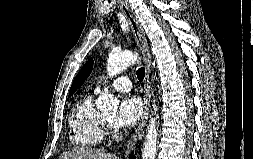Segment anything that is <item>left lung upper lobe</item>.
<instances>
[{
    "label": "left lung upper lobe",
    "instance_id": "5c2ea615",
    "mask_svg": "<svg viewBox=\"0 0 253 159\" xmlns=\"http://www.w3.org/2000/svg\"><path fill=\"white\" fill-rule=\"evenodd\" d=\"M93 68V60H89L80 70V72L77 74V76L74 79V82L71 85L70 91H69V97L77 90L78 87H80L84 81L88 78Z\"/></svg>",
    "mask_w": 253,
    "mask_h": 159
}]
</instances>
